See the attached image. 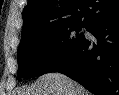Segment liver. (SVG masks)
Masks as SVG:
<instances>
[{
	"label": "liver",
	"instance_id": "6515ba94",
	"mask_svg": "<svg viewBox=\"0 0 119 95\" xmlns=\"http://www.w3.org/2000/svg\"><path fill=\"white\" fill-rule=\"evenodd\" d=\"M17 95H90L80 84L60 73H47Z\"/></svg>",
	"mask_w": 119,
	"mask_h": 95
}]
</instances>
